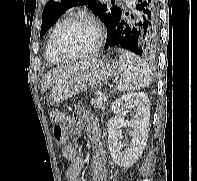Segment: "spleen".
<instances>
[{"label":"spleen","instance_id":"3e777b00","mask_svg":"<svg viewBox=\"0 0 197 181\" xmlns=\"http://www.w3.org/2000/svg\"><path fill=\"white\" fill-rule=\"evenodd\" d=\"M120 78L117 89L121 92L140 90L152 81V71L139 57L119 49Z\"/></svg>","mask_w":197,"mask_h":181}]
</instances>
